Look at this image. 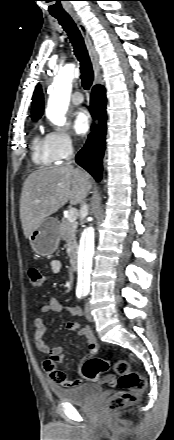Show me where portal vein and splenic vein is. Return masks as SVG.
<instances>
[{
  "label": "portal vein and splenic vein",
  "mask_w": 174,
  "mask_h": 440,
  "mask_svg": "<svg viewBox=\"0 0 174 440\" xmlns=\"http://www.w3.org/2000/svg\"><path fill=\"white\" fill-rule=\"evenodd\" d=\"M78 216V211L76 208H70L68 215H67V219L69 222H75Z\"/></svg>",
  "instance_id": "obj_1"
}]
</instances>
